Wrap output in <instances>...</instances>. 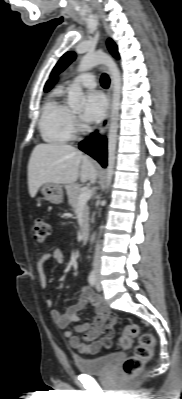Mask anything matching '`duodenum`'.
Returning a JSON list of instances; mask_svg holds the SVG:
<instances>
[{
    "instance_id": "duodenum-1",
    "label": "duodenum",
    "mask_w": 182,
    "mask_h": 399,
    "mask_svg": "<svg viewBox=\"0 0 182 399\" xmlns=\"http://www.w3.org/2000/svg\"><path fill=\"white\" fill-rule=\"evenodd\" d=\"M82 241L83 242H87L89 239V232L88 231H83L82 235H81Z\"/></svg>"
}]
</instances>
